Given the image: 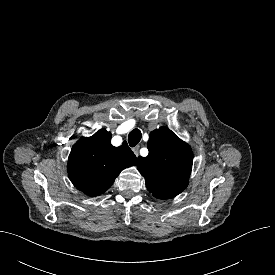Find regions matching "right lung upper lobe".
Listing matches in <instances>:
<instances>
[{"instance_id":"1","label":"right lung upper lobe","mask_w":275,"mask_h":275,"mask_svg":"<svg viewBox=\"0 0 275 275\" xmlns=\"http://www.w3.org/2000/svg\"><path fill=\"white\" fill-rule=\"evenodd\" d=\"M137 163L126 142L111 145V133L105 129L93 136L81 138L72 147L68 160V175L73 185L90 196L104 193L119 173Z\"/></svg>"}]
</instances>
